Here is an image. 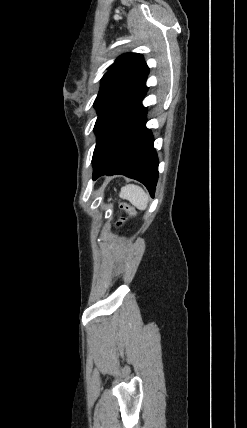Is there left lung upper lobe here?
I'll use <instances>...</instances> for the list:
<instances>
[{
  "mask_svg": "<svg viewBox=\"0 0 247 428\" xmlns=\"http://www.w3.org/2000/svg\"><path fill=\"white\" fill-rule=\"evenodd\" d=\"M149 68L141 54L126 53L118 57L101 79L94 101L98 118L94 131L98 135L104 124L122 106L143 93Z\"/></svg>",
  "mask_w": 247,
  "mask_h": 428,
  "instance_id": "1",
  "label": "left lung upper lobe"
}]
</instances>
